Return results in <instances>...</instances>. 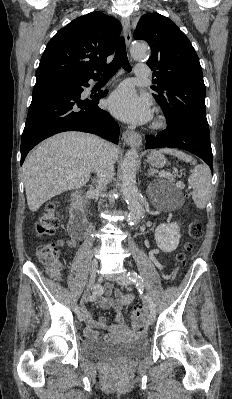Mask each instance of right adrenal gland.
Masks as SVG:
<instances>
[{
	"mask_svg": "<svg viewBox=\"0 0 232 399\" xmlns=\"http://www.w3.org/2000/svg\"><path fill=\"white\" fill-rule=\"evenodd\" d=\"M91 182H92V184H94V186H96V184H98L97 178H91Z\"/></svg>",
	"mask_w": 232,
	"mask_h": 399,
	"instance_id": "2a0ac1e0",
	"label": "right adrenal gland"
}]
</instances>
